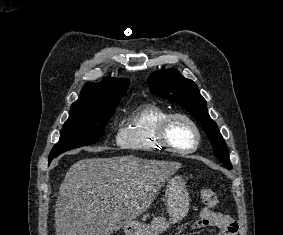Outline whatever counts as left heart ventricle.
I'll return each mask as SVG.
<instances>
[{"label": "left heart ventricle", "instance_id": "left-heart-ventricle-1", "mask_svg": "<svg viewBox=\"0 0 283 235\" xmlns=\"http://www.w3.org/2000/svg\"><path fill=\"white\" fill-rule=\"evenodd\" d=\"M168 138L174 147L180 149L190 148L195 142L193 129L186 121L180 119L171 122L168 128Z\"/></svg>", "mask_w": 283, "mask_h": 235}]
</instances>
